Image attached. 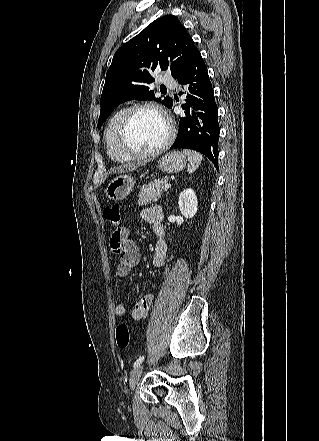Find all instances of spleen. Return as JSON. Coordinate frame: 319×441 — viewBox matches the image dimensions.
Instances as JSON below:
<instances>
[{
    "label": "spleen",
    "instance_id": "obj_1",
    "mask_svg": "<svg viewBox=\"0 0 319 441\" xmlns=\"http://www.w3.org/2000/svg\"><path fill=\"white\" fill-rule=\"evenodd\" d=\"M184 153L188 156L189 159V166H188V173H193L196 171V169L201 164V161L203 159V156L193 150L184 149Z\"/></svg>",
    "mask_w": 319,
    "mask_h": 441
}]
</instances>
